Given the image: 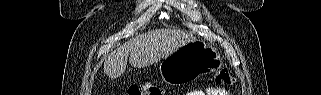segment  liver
Returning a JSON list of instances; mask_svg holds the SVG:
<instances>
[{
    "mask_svg": "<svg viewBox=\"0 0 321 95\" xmlns=\"http://www.w3.org/2000/svg\"><path fill=\"white\" fill-rule=\"evenodd\" d=\"M191 33L175 29H157L133 38L104 61V73L110 78L120 77L126 70L127 60L133 67H146L164 58L186 43L195 41Z\"/></svg>",
    "mask_w": 321,
    "mask_h": 95,
    "instance_id": "6515ba94",
    "label": "liver"
}]
</instances>
